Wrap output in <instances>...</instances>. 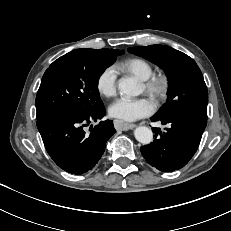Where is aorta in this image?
Returning a JSON list of instances; mask_svg holds the SVG:
<instances>
[{
	"label": "aorta",
	"instance_id": "obj_1",
	"mask_svg": "<svg viewBox=\"0 0 231 231\" xmlns=\"http://www.w3.org/2000/svg\"><path fill=\"white\" fill-rule=\"evenodd\" d=\"M119 90L128 96H137L141 93L140 86L132 78H123L118 83ZM136 140L144 145L150 144L153 141V132L150 128L139 126L134 130Z\"/></svg>",
	"mask_w": 231,
	"mask_h": 231
}]
</instances>
